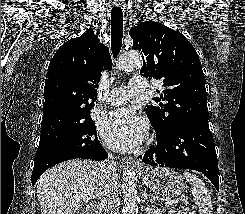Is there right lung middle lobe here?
<instances>
[{
  "label": "right lung middle lobe",
  "mask_w": 245,
  "mask_h": 214,
  "mask_svg": "<svg viewBox=\"0 0 245 214\" xmlns=\"http://www.w3.org/2000/svg\"><path fill=\"white\" fill-rule=\"evenodd\" d=\"M89 114L56 128L41 130L34 166L50 167L65 158L87 152L91 146L97 143L96 129ZM43 147H56L61 153L48 155Z\"/></svg>",
  "instance_id": "dd1d6c3e"
}]
</instances>
